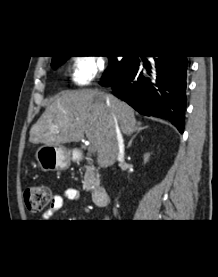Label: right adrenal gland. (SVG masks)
Masks as SVG:
<instances>
[{
  "mask_svg": "<svg viewBox=\"0 0 218 277\" xmlns=\"http://www.w3.org/2000/svg\"><path fill=\"white\" fill-rule=\"evenodd\" d=\"M146 128H148V126L142 127L141 124L138 123V126H137V128H136V130H135L136 133L131 137V139H130V141H129V143H128L127 148L131 147L132 142H133V140L136 138L137 134H138L140 131H142V130H144V129H146Z\"/></svg>",
  "mask_w": 218,
  "mask_h": 277,
  "instance_id": "right-adrenal-gland-1",
  "label": "right adrenal gland"
}]
</instances>
